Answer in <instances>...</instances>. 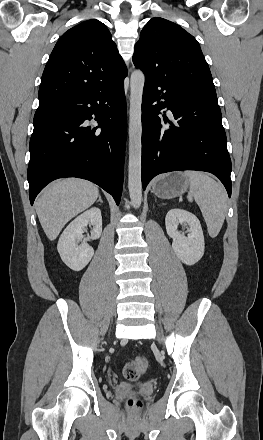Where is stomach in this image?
<instances>
[{
	"label": "stomach",
	"instance_id": "0dacf381",
	"mask_svg": "<svg viewBox=\"0 0 263 440\" xmlns=\"http://www.w3.org/2000/svg\"><path fill=\"white\" fill-rule=\"evenodd\" d=\"M189 187L188 180L182 172L168 173L159 176L152 184V192L159 198L171 199L182 195Z\"/></svg>",
	"mask_w": 263,
	"mask_h": 440
}]
</instances>
